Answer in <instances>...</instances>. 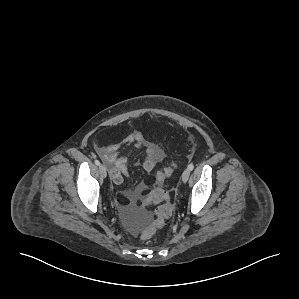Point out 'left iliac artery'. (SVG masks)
I'll list each match as a JSON object with an SVG mask.
<instances>
[{"label":"left iliac artery","instance_id":"obj_1","mask_svg":"<svg viewBox=\"0 0 299 299\" xmlns=\"http://www.w3.org/2000/svg\"><path fill=\"white\" fill-rule=\"evenodd\" d=\"M188 169H189L190 171H192V170L194 169V164H190V165L188 166Z\"/></svg>","mask_w":299,"mask_h":299}]
</instances>
